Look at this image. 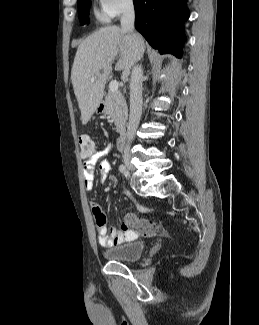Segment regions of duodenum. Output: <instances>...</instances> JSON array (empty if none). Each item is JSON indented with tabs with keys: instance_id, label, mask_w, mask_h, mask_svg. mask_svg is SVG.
<instances>
[{
	"instance_id": "1",
	"label": "duodenum",
	"mask_w": 259,
	"mask_h": 325,
	"mask_svg": "<svg viewBox=\"0 0 259 325\" xmlns=\"http://www.w3.org/2000/svg\"><path fill=\"white\" fill-rule=\"evenodd\" d=\"M104 105L102 104L101 107H103ZM126 140H127V136L126 133H122L120 135V137L118 138L117 142H116V146L118 150H123L125 145H126Z\"/></svg>"
}]
</instances>
